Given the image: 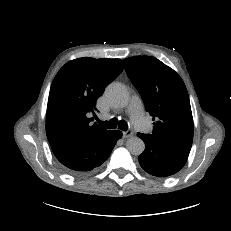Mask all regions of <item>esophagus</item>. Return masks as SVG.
Segmentation results:
<instances>
[{
  "label": "esophagus",
  "mask_w": 231,
  "mask_h": 231,
  "mask_svg": "<svg viewBox=\"0 0 231 231\" xmlns=\"http://www.w3.org/2000/svg\"><path fill=\"white\" fill-rule=\"evenodd\" d=\"M124 138H129L133 136V131L132 130H127L122 132Z\"/></svg>",
  "instance_id": "obj_1"
}]
</instances>
